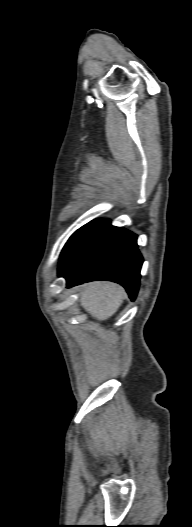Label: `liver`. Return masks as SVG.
<instances>
[{
  "instance_id": "6515ba94",
  "label": "liver",
  "mask_w": 192,
  "mask_h": 527,
  "mask_svg": "<svg viewBox=\"0 0 192 527\" xmlns=\"http://www.w3.org/2000/svg\"><path fill=\"white\" fill-rule=\"evenodd\" d=\"M125 290L112 282H92L84 286L81 306L97 320H106L119 309Z\"/></svg>"
}]
</instances>
